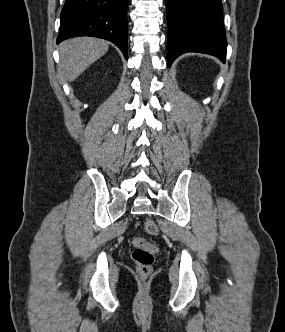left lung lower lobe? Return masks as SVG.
Segmentation results:
<instances>
[{"instance_id":"0a47b994","label":"left lung lower lobe","mask_w":285,"mask_h":332,"mask_svg":"<svg viewBox=\"0 0 285 332\" xmlns=\"http://www.w3.org/2000/svg\"><path fill=\"white\" fill-rule=\"evenodd\" d=\"M168 65L181 54H210L225 62L227 44L221 0H166Z\"/></svg>"}]
</instances>
